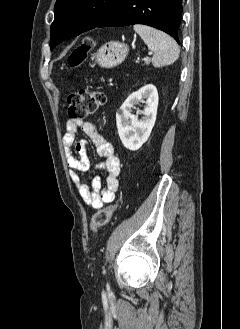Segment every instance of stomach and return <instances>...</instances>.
Returning a JSON list of instances; mask_svg holds the SVG:
<instances>
[{"label":"stomach","mask_w":240,"mask_h":329,"mask_svg":"<svg viewBox=\"0 0 240 329\" xmlns=\"http://www.w3.org/2000/svg\"><path fill=\"white\" fill-rule=\"evenodd\" d=\"M128 52V45L117 41H110L103 45L92 56V59H95L101 67L112 68L122 63Z\"/></svg>","instance_id":"1"}]
</instances>
